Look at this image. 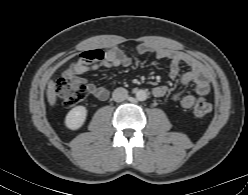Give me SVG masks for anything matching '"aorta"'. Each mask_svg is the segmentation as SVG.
I'll list each match as a JSON object with an SVG mask.
<instances>
[{"label": "aorta", "instance_id": "obj_1", "mask_svg": "<svg viewBox=\"0 0 248 195\" xmlns=\"http://www.w3.org/2000/svg\"><path fill=\"white\" fill-rule=\"evenodd\" d=\"M136 99L138 101H145L147 99V93L145 90H137L136 91Z\"/></svg>", "mask_w": 248, "mask_h": 195}]
</instances>
